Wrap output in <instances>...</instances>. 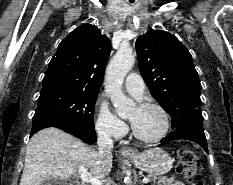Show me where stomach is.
Masks as SVG:
<instances>
[{
    "instance_id": "obj_1",
    "label": "stomach",
    "mask_w": 233,
    "mask_h": 185,
    "mask_svg": "<svg viewBox=\"0 0 233 185\" xmlns=\"http://www.w3.org/2000/svg\"><path fill=\"white\" fill-rule=\"evenodd\" d=\"M137 168L151 174L163 175L173 166V159L162 148H151L134 155H126Z\"/></svg>"
}]
</instances>
